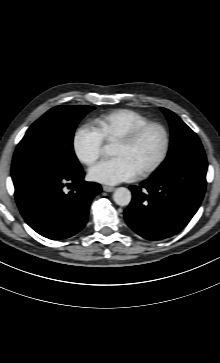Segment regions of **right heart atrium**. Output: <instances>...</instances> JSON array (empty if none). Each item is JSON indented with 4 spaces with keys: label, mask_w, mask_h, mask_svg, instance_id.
Returning a JSON list of instances; mask_svg holds the SVG:
<instances>
[{
    "label": "right heart atrium",
    "mask_w": 220,
    "mask_h": 363,
    "mask_svg": "<svg viewBox=\"0 0 220 363\" xmlns=\"http://www.w3.org/2000/svg\"><path fill=\"white\" fill-rule=\"evenodd\" d=\"M72 148L77 159L84 165H92L101 155L103 138L88 124L79 125L72 136Z\"/></svg>",
    "instance_id": "right-heart-atrium-1"
}]
</instances>
